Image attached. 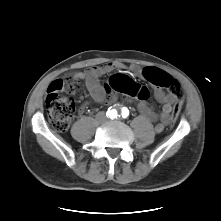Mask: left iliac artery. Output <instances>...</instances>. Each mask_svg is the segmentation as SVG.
<instances>
[{
	"label": "left iliac artery",
	"mask_w": 221,
	"mask_h": 221,
	"mask_svg": "<svg viewBox=\"0 0 221 221\" xmlns=\"http://www.w3.org/2000/svg\"><path fill=\"white\" fill-rule=\"evenodd\" d=\"M129 115V111L127 108H123L122 109V117L126 118Z\"/></svg>",
	"instance_id": "left-iliac-artery-1"
}]
</instances>
